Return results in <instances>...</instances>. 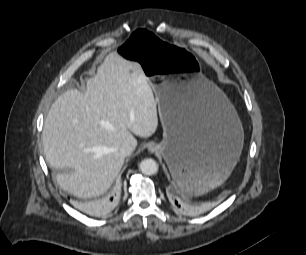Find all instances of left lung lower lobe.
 Wrapping results in <instances>:
<instances>
[{"label": "left lung lower lobe", "mask_w": 306, "mask_h": 255, "mask_svg": "<svg viewBox=\"0 0 306 255\" xmlns=\"http://www.w3.org/2000/svg\"><path fill=\"white\" fill-rule=\"evenodd\" d=\"M183 182H186V179H183ZM170 197L174 207L179 211L183 213H194L196 211V207L180 199L176 191H172Z\"/></svg>", "instance_id": "0a47b994"}]
</instances>
